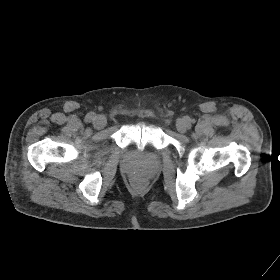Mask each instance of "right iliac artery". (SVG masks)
Returning a JSON list of instances; mask_svg holds the SVG:
<instances>
[{
    "label": "right iliac artery",
    "instance_id": "obj_1",
    "mask_svg": "<svg viewBox=\"0 0 280 280\" xmlns=\"http://www.w3.org/2000/svg\"><path fill=\"white\" fill-rule=\"evenodd\" d=\"M95 118H96L95 114L91 112V113H88V114L86 115L85 121L91 122V121H93Z\"/></svg>",
    "mask_w": 280,
    "mask_h": 280
}]
</instances>
